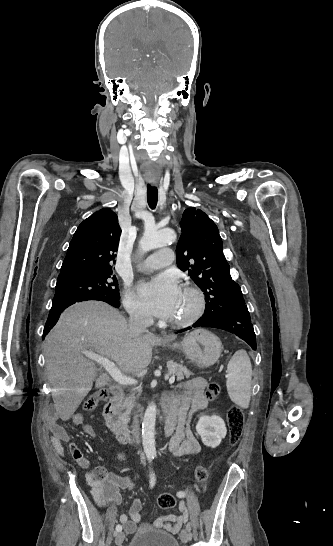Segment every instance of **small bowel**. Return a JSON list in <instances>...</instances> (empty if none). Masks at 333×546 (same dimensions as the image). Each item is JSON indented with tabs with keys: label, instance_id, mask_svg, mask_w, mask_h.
I'll use <instances>...</instances> for the list:
<instances>
[{
	"label": "small bowel",
	"instance_id": "1",
	"mask_svg": "<svg viewBox=\"0 0 333 546\" xmlns=\"http://www.w3.org/2000/svg\"><path fill=\"white\" fill-rule=\"evenodd\" d=\"M183 389L182 394L169 398L164 403L167 414L165 433L171 436L168 449L175 456L195 455L200 451V444L193 431L191 428L186 427L187 412L190 408L195 412L200 411L208 404V400L204 395L205 381L203 379H191L184 384ZM81 419L80 415L74 417L76 422H80ZM49 429L54 450L59 455H64L65 448L63 444H67L70 454L86 470L87 476L93 484L92 497L95 503L101 508L117 506L120 500L117 489L118 487L127 486V481L114 479L101 468H91L79 448L70 441L69 434L55 419L49 422ZM83 432L88 437H95L93 428L88 424L83 425ZM120 457L124 458V455L120 454ZM141 508V500L136 499L131 504L129 514L120 515L119 521L124 525L126 532H135L136 525L141 521ZM178 509L181 515L161 516L154 521V525L162 527L167 532L178 533L188 519L187 507L183 501L179 503Z\"/></svg>",
	"mask_w": 333,
	"mask_h": 546
}]
</instances>
